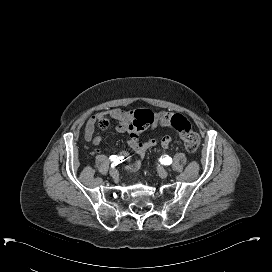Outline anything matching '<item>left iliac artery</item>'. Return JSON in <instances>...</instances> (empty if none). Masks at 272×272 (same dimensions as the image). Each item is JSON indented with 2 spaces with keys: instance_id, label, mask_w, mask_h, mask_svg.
I'll list each match as a JSON object with an SVG mask.
<instances>
[{
  "instance_id": "obj_1",
  "label": "left iliac artery",
  "mask_w": 272,
  "mask_h": 272,
  "mask_svg": "<svg viewBox=\"0 0 272 272\" xmlns=\"http://www.w3.org/2000/svg\"><path fill=\"white\" fill-rule=\"evenodd\" d=\"M161 163L164 165H170L172 163V158H170L169 156L161 158Z\"/></svg>"
}]
</instances>
